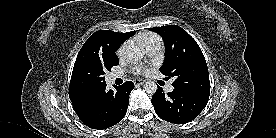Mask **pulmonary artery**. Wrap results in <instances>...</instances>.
<instances>
[{"label": "pulmonary artery", "instance_id": "obj_1", "mask_svg": "<svg viewBox=\"0 0 276 138\" xmlns=\"http://www.w3.org/2000/svg\"><path fill=\"white\" fill-rule=\"evenodd\" d=\"M160 48H161V44L160 43H155V44L150 45L146 50H147L148 55L153 56V55H155L156 53L159 52ZM119 77H121V75H119V74H112L111 75L112 80H115ZM173 89H174V87H173L172 83H169L166 86V91L167 92H172Z\"/></svg>", "mask_w": 276, "mask_h": 138}]
</instances>
